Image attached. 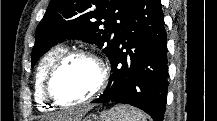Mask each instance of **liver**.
Listing matches in <instances>:
<instances>
[{
    "label": "liver",
    "instance_id": "6515ba94",
    "mask_svg": "<svg viewBox=\"0 0 217 121\" xmlns=\"http://www.w3.org/2000/svg\"><path fill=\"white\" fill-rule=\"evenodd\" d=\"M70 113H64L62 115H58V121H71Z\"/></svg>",
    "mask_w": 217,
    "mask_h": 121
}]
</instances>
